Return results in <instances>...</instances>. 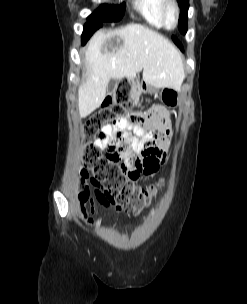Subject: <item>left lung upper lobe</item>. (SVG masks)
Here are the masks:
<instances>
[{"mask_svg":"<svg viewBox=\"0 0 247 304\" xmlns=\"http://www.w3.org/2000/svg\"><path fill=\"white\" fill-rule=\"evenodd\" d=\"M179 6L181 8L180 16H179V30L182 34H185L187 31V21H188V8H189V0H177Z\"/></svg>","mask_w":247,"mask_h":304,"instance_id":"obj_1","label":"left lung upper lobe"}]
</instances>
